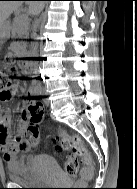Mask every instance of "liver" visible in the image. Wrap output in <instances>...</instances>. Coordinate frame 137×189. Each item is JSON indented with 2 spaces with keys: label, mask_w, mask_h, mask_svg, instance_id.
I'll list each match as a JSON object with an SVG mask.
<instances>
[{
  "label": "liver",
  "mask_w": 137,
  "mask_h": 189,
  "mask_svg": "<svg viewBox=\"0 0 137 189\" xmlns=\"http://www.w3.org/2000/svg\"><path fill=\"white\" fill-rule=\"evenodd\" d=\"M28 3H30V9L33 13H37L43 7V4H38L36 2ZM21 5L22 1H0V26L3 25L4 21L11 15V13Z\"/></svg>",
  "instance_id": "6515ba94"
}]
</instances>
